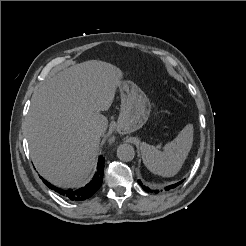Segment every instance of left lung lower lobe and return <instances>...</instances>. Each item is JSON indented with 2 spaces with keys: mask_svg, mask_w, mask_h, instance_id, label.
<instances>
[{
  "mask_svg": "<svg viewBox=\"0 0 246 246\" xmlns=\"http://www.w3.org/2000/svg\"><path fill=\"white\" fill-rule=\"evenodd\" d=\"M182 182H183V180L180 181V182H178V183H176V184L167 186V187L165 188V190H170V189H172V188H175V187H177L179 184H181ZM138 183L142 186V188H143L145 191H147V192H153V190L149 189V188L146 187V186H143L142 183H141V181H138ZM154 192H155V193H158L159 191H158V190H155Z\"/></svg>",
  "mask_w": 246,
  "mask_h": 246,
  "instance_id": "0a47b994",
  "label": "left lung lower lobe"
}]
</instances>
